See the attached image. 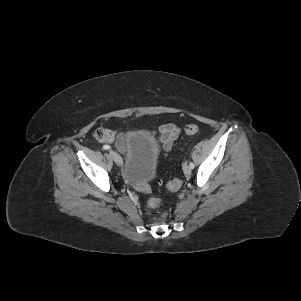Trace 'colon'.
Returning a JSON list of instances; mask_svg holds the SVG:
<instances>
[{"mask_svg":"<svg viewBox=\"0 0 301 301\" xmlns=\"http://www.w3.org/2000/svg\"><path fill=\"white\" fill-rule=\"evenodd\" d=\"M185 132L188 135H194L199 132V127L195 124H190L185 127ZM94 137L99 142H110L113 140L114 135L110 130L98 129L94 132ZM181 187V181L177 178L173 179L168 184V189L170 191H177ZM161 200L159 197L154 195H149L146 201L148 208H156L160 205ZM163 217L166 216L165 213L162 214Z\"/></svg>","mask_w":301,"mask_h":301,"instance_id":"obj_1","label":"colon"}]
</instances>
